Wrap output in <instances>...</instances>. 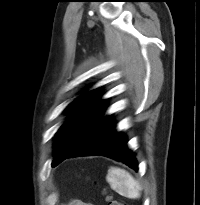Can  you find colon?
<instances>
[{
  "label": "colon",
  "instance_id": "1",
  "mask_svg": "<svg viewBox=\"0 0 200 205\" xmlns=\"http://www.w3.org/2000/svg\"><path fill=\"white\" fill-rule=\"evenodd\" d=\"M109 205H124L122 202L112 199L110 196L107 197Z\"/></svg>",
  "mask_w": 200,
  "mask_h": 205
}]
</instances>
